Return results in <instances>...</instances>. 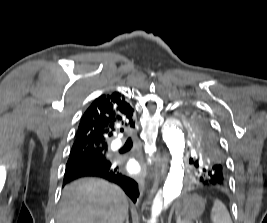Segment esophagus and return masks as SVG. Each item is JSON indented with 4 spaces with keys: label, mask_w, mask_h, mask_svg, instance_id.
Wrapping results in <instances>:
<instances>
[{
    "label": "esophagus",
    "mask_w": 267,
    "mask_h": 223,
    "mask_svg": "<svg viewBox=\"0 0 267 223\" xmlns=\"http://www.w3.org/2000/svg\"><path fill=\"white\" fill-rule=\"evenodd\" d=\"M159 166H160V170H161V174H165L166 170H167V166H168V158L166 155H163L160 160H159ZM140 185H141V190L144 189V183L143 181H141V179L138 180Z\"/></svg>",
    "instance_id": "esophagus-1"
}]
</instances>
